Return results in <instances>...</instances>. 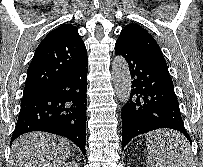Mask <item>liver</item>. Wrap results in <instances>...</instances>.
Returning a JSON list of instances; mask_svg holds the SVG:
<instances>
[{
  "label": "liver",
  "mask_w": 203,
  "mask_h": 167,
  "mask_svg": "<svg viewBox=\"0 0 203 167\" xmlns=\"http://www.w3.org/2000/svg\"><path fill=\"white\" fill-rule=\"evenodd\" d=\"M173 133L159 130L147 137L160 144ZM69 155L70 146L64 138L45 132H32L13 142L9 167H62Z\"/></svg>",
  "instance_id": "obj_1"
}]
</instances>
